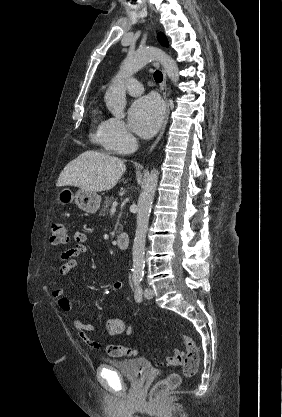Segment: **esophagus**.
I'll use <instances>...</instances> for the list:
<instances>
[{"label":"esophagus","instance_id":"esophagus-1","mask_svg":"<svg viewBox=\"0 0 282 417\" xmlns=\"http://www.w3.org/2000/svg\"><path fill=\"white\" fill-rule=\"evenodd\" d=\"M162 73H163V80L160 83V88L162 90V94H163V98H164L165 111H164V115H163V121H162V124H161V128H160V131H159V135L156 138L155 142L151 145L149 152L154 150V148L156 147V145L160 141V139H161V137L164 133L165 127L167 125V122H168V119H169V113H170L169 101H168V97H167L166 72H165L163 67H162Z\"/></svg>","mask_w":282,"mask_h":417}]
</instances>
